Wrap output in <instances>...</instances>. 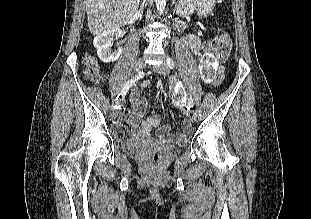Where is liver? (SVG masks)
<instances>
[{
    "label": "liver",
    "mask_w": 311,
    "mask_h": 219,
    "mask_svg": "<svg viewBox=\"0 0 311 219\" xmlns=\"http://www.w3.org/2000/svg\"><path fill=\"white\" fill-rule=\"evenodd\" d=\"M140 0H85L92 35L118 29L136 13Z\"/></svg>",
    "instance_id": "1"
}]
</instances>
